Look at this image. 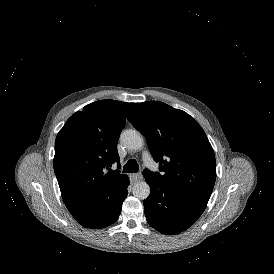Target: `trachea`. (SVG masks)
Wrapping results in <instances>:
<instances>
[{
    "instance_id": "obj_1",
    "label": "trachea",
    "mask_w": 274,
    "mask_h": 274,
    "mask_svg": "<svg viewBox=\"0 0 274 274\" xmlns=\"http://www.w3.org/2000/svg\"><path fill=\"white\" fill-rule=\"evenodd\" d=\"M139 165L135 159H130L123 168V172L130 173V172H138Z\"/></svg>"
}]
</instances>
